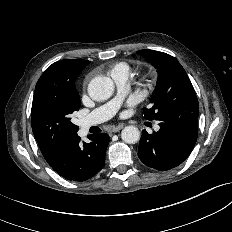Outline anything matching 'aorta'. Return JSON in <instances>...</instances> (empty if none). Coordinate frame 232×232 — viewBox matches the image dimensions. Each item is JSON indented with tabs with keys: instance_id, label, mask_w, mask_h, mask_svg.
I'll return each mask as SVG.
<instances>
[{
	"instance_id": "obj_1",
	"label": "aorta",
	"mask_w": 232,
	"mask_h": 232,
	"mask_svg": "<svg viewBox=\"0 0 232 232\" xmlns=\"http://www.w3.org/2000/svg\"><path fill=\"white\" fill-rule=\"evenodd\" d=\"M114 92L111 78L97 76L88 85V94L95 101L107 100ZM121 138L128 144H135L140 139V131L135 126H126L121 132Z\"/></svg>"
}]
</instances>
